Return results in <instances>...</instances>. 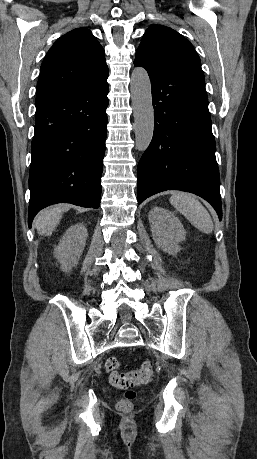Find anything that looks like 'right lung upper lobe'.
Here are the masks:
<instances>
[{
	"label": "right lung upper lobe",
	"mask_w": 257,
	"mask_h": 459,
	"mask_svg": "<svg viewBox=\"0 0 257 459\" xmlns=\"http://www.w3.org/2000/svg\"><path fill=\"white\" fill-rule=\"evenodd\" d=\"M107 76L104 50L96 37L86 28L74 29L60 37L45 56L36 100L80 90Z\"/></svg>",
	"instance_id": "cb5924a9"
}]
</instances>
